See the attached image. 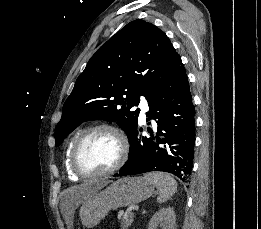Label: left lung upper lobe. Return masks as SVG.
I'll return each mask as SVG.
<instances>
[{"label":"left lung upper lobe","instance_id":"5c2ea615","mask_svg":"<svg viewBox=\"0 0 261 229\" xmlns=\"http://www.w3.org/2000/svg\"><path fill=\"white\" fill-rule=\"evenodd\" d=\"M180 64L163 31L141 19L128 23L98 49L77 78L55 128V145L82 122L96 119L116 121L130 139L140 112L130 109Z\"/></svg>","mask_w":261,"mask_h":229}]
</instances>
